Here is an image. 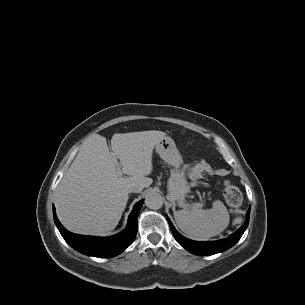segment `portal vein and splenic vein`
I'll list each match as a JSON object with an SVG mask.
<instances>
[{"mask_svg":"<svg viewBox=\"0 0 305 305\" xmlns=\"http://www.w3.org/2000/svg\"><path fill=\"white\" fill-rule=\"evenodd\" d=\"M114 163H115V166H116V169H117V176H122V170H121V164L118 162V160L115 158L114 159ZM198 206L202 207L204 206L203 203H198Z\"/></svg>","mask_w":305,"mask_h":305,"instance_id":"18ae733b","label":"portal vein and splenic vein"}]
</instances>
